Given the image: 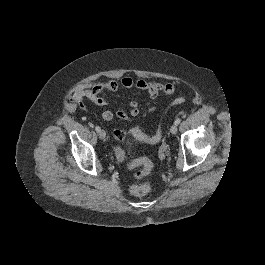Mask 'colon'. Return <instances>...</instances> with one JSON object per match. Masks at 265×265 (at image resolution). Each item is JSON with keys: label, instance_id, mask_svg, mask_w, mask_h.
Instances as JSON below:
<instances>
[{"label": "colon", "instance_id": "colon-1", "mask_svg": "<svg viewBox=\"0 0 265 265\" xmlns=\"http://www.w3.org/2000/svg\"><path fill=\"white\" fill-rule=\"evenodd\" d=\"M171 91L172 90L169 86L164 87V93L166 95H170ZM184 102H185L184 98H177L173 101L172 105H178ZM130 133L138 140L145 142V143H149V144H156L162 138V129L160 126L157 129L156 133L152 136H148L136 128L130 130ZM113 135L117 139H123L125 138L126 133L122 130H116L113 132ZM130 166L132 168H137V170L134 173V177L136 179H141L144 176L148 175L152 171V167H153L152 162L146 157H141V158L133 160L130 163ZM150 188L151 186L148 182H144L142 184L135 183L131 185L130 193L134 196L140 197V196L147 194L150 191Z\"/></svg>", "mask_w": 265, "mask_h": 265}]
</instances>
